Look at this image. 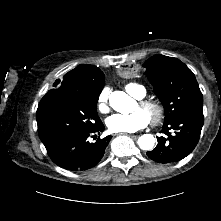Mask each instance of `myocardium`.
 I'll list each match as a JSON object with an SVG mask.
<instances>
[{"label": "myocardium", "mask_w": 221, "mask_h": 221, "mask_svg": "<svg viewBox=\"0 0 221 221\" xmlns=\"http://www.w3.org/2000/svg\"><path fill=\"white\" fill-rule=\"evenodd\" d=\"M139 106L143 109H151L153 111V115L150 119L153 125H157L161 122L164 116V107L159 101L142 99L139 101Z\"/></svg>", "instance_id": "1"}]
</instances>
